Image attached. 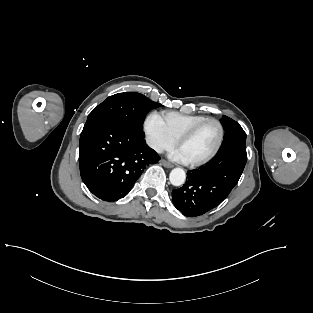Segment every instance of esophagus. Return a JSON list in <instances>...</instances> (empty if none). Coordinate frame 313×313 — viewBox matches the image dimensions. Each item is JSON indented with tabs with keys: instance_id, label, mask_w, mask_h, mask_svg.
<instances>
[{
	"instance_id": "esophagus-1",
	"label": "esophagus",
	"mask_w": 313,
	"mask_h": 313,
	"mask_svg": "<svg viewBox=\"0 0 313 313\" xmlns=\"http://www.w3.org/2000/svg\"><path fill=\"white\" fill-rule=\"evenodd\" d=\"M161 164L166 167V168H172L173 167V164H171L170 162H167L165 160H162L161 161Z\"/></svg>"
}]
</instances>
